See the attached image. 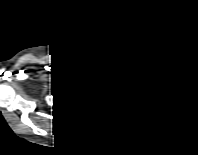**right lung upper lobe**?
Here are the masks:
<instances>
[{"mask_svg": "<svg viewBox=\"0 0 198 155\" xmlns=\"http://www.w3.org/2000/svg\"><path fill=\"white\" fill-rule=\"evenodd\" d=\"M95 82L81 73H70L52 92L53 103L60 109L75 110L93 95Z\"/></svg>", "mask_w": 198, "mask_h": 155, "instance_id": "1", "label": "right lung upper lobe"}]
</instances>
